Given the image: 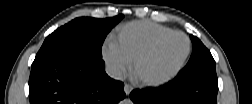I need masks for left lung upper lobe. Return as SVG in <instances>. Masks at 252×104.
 Segmentation results:
<instances>
[{
  "mask_svg": "<svg viewBox=\"0 0 252 104\" xmlns=\"http://www.w3.org/2000/svg\"><path fill=\"white\" fill-rule=\"evenodd\" d=\"M193 45V53L187 65L179 74H188L201 70H215V61L210 51L195 36L190 35Z\"/></svg>",
  "mask_w": 252,
  "mask_h": 104,
  "instance_id": "left-lung-upper-lobe-1",
  "label": "left lung upper lobe"
}]
</instances>
